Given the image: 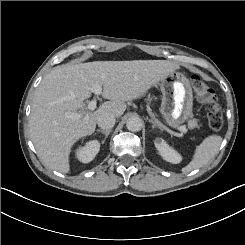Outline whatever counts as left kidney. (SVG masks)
<instances>
[{
  "instance_id": "1",
  "label": "left kidney",
  "mask_w": 245,
  "mask_h": 245,
  "mask_svg": "<svg viewBox=\"0 0 245 245\" xmlns=\"http://www.w3.org/2000/svg\"><path fill=\"white\" fill-rule=\"evenodd\" d=\"M155 147L157 148L159 154L162 156V158L170 163L178 164L182 161L181 155L174 150L172 147H170L164 139L162 138H156L154 140Z\"/></svg>"
}]
</instances>
